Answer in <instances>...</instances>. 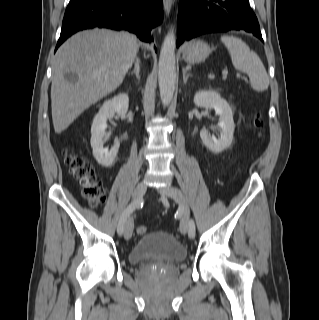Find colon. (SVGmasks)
I'll use <instances>...</instances> for the list:
<instances>
[{
	"label": "colon",
	"mask_w": 319,
	"mask_h": 320,
	"mask_svg": "<svg viewBox=\"0 0 319 320\" xmlns=\"http://www.w3.org/2000/svg\"><path fill=\"white\" fill-rule=\"evenodd\" d=\"M256 127L263 128V122L260 118L256 119ZM65 161L69 166L73 177L79 182L83 197L92 205L98 206L105 199L104 189L96 180L93 166L80 154L74 151L65 152ZM139 235L147 232L145 226H138L136 229Z\"/></svg>",
	"instance_id": "obj_1"
}]
</instances>
